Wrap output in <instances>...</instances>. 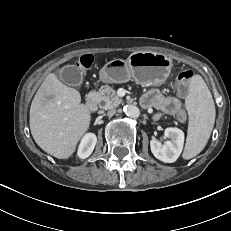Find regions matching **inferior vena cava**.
Returning a JSON list of instances; mask_svg holds the SVG:
<instances>
[{
  "label": "inferior vena cava",
  "instance_id": "602c4592",
  "mask_svg": "<svg viewBox=\"0 0 231 231\" xmlns=\"http://www.w3.org/2000/svg\"><path fill=\"white\" fill-rule=\"evenodd\" d=\"M115 113H116V110H115V109H110V110L107 112V115H108L109 117H112Z\"/></svg>",
  "mask_w": 231,
  "mask_h": 231
}]
</instances>
